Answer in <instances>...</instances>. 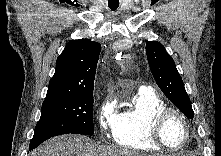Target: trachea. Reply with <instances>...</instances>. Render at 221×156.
I'll list each match as a JSON object with an SVG mask.
<instances>
[{
  "mask_svg": "<svg viewBox=\"0 0 221 156\" xmlns=\"http://www.w3.org/2000/svg\"><path fill=\"white\" fill-rule=\"evenodd\" d=\"M108 7L111 10H116L119 7V1L118 0H109L108 1Z\"/></svg>",
  "mask_w": 221,
  "mask_h": 156,
  "instance_id": "3493384b",
  "label": "trachea"
}]
</instances>
